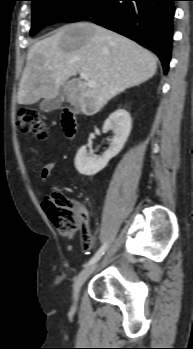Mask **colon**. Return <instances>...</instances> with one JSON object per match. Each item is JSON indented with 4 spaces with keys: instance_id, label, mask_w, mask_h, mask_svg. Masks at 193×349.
<instances>
[{
    "instance_id": "5ec220e1",
    "label": "colon",
    "mask_w": 193,
    "mask_h": 349,
    "mask_svg": "<svg viewBox=\"0 0 193 349\" xmlns=\"http://www.w3.org/2000/svg\"><path fill=\"white\" fill-rule=\"evenodd\" d=\"M17 130L21 135H32L40 141L48 137L41 115L30 107L20 108L17 116ZM43 206L50 219L65 234L77 231L82 225L79 205L64 193L54 190L45 196Z\"/></svg>"
}]
</instances>
